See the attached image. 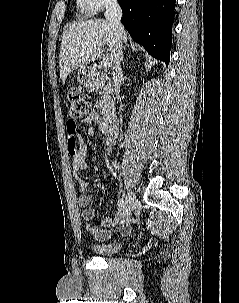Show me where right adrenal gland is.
Wrapping results in <instances>:
<instances>
[{"label": "right adrenal gland", "mask_w": 239, "mask_h": 303, "mask_svg": "<svg viewBox=\"0 0 239 303\" xmlns=\"http://www.w3.org/2000/svg\"><path fill=\"white\" fill-rule=\"evenodd\" d=\"M123 59H124V54H123V52H122V61H123Z\"/></svg>", "instance_id": "2a0ac1e0"}]
</instances>
